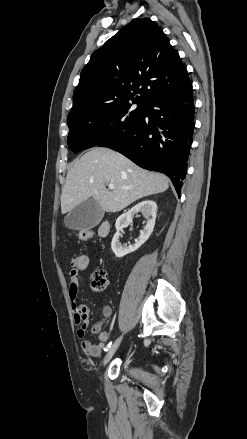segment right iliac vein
Segmentation results:
<instances>
[{
	"label": "right iliac vein",
	"mask_w": 247,
	"mask_h": 439,
	"mask_svg": "<svg viewBox=\"0 0 247 439\" xmlns=\"http://www.w3.org/2000/svg\"><path fill=\"white\" fill-rule=\"evenodd\" d=\"M121 341H122V336H120L116 339V341L113 343V345L110 347V349L106 353L104 360H103V365H106L111 360V358L115 354L116 350L118 349Z\"/></svg>",
	"instance_id": "right-iliac-vein-1"
}]
</instances>
